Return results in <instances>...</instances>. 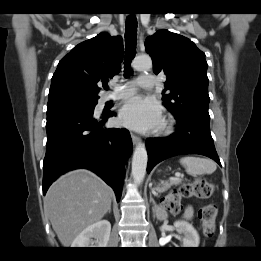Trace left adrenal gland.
<instances>
[{
	"label": "left adrenal gland",
	"instance_id": "a2214340",
	"mask_svg": "<svg viewBox=\"0 0 261 261\" xmlns=\"http://www.w3.org/2000/svg\"><path fill=\"white\" fill-rule=\"evenodd\" d=\"M150 202H152L153 203V208H152V210H153V213H155V208H156V202L154 201V199H153V197H152V194H150Z\"/></svg>",
	"mask_w": 261,
	"mask_h": 261
}]
</instances>
